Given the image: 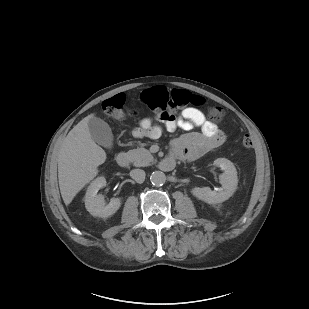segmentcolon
Returning <instances> with one entry per match:
<instances>
[{
  "label": "colon",
  "mask_w": 309,
  "mask_h": 309,
  "mask_svg": "<svg viewBox=\"0 0 309 309\" xmlns=\"http://www.w3.org/2000/svg\"><path fill=\"white\" fill-rule=\"evenodd\" d=\"M144 102L149 108L157 114V120L162 122L172 116L171 111L186 106L201 107L205 105V99L197 94H193L183 89L168 90L164 86H156L147 91L143 95ZM104 113L116 121L125 119L127 113L131 110L125 105V97L123 94L106 99L102 103ZM211 117L215 121L224 120V112L220 107L210 108ZM253 145L252 138L249 135H244L242 138V146L245 149H250Z\"/></svg>",
  "instance_id": "1"
}]
</instances>
